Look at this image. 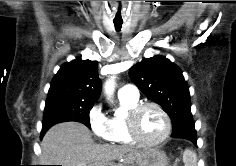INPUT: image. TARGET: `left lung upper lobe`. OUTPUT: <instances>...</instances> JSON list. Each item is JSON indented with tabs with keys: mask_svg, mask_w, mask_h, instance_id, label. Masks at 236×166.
I'll use <instances>...</instances> for the list:
<instances>
[{
	"mask_svg": "<svg viewBox=\"0 0 236 166\" xmlns=\"http://www.w3.org/2000/svg\"><path fill=\"white\" fill-rule=\"evenodd\" d=\"M129 75L149 99L163 107L172 124L194 126L189 87L178 66L156 55L132 66Z\"/></svg>",
	"mask_w": 236,
	"mask_h": 166,
	"instance_id": "obj_1",
	"label": "left lung upper lobe"
}]
</instances>
